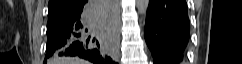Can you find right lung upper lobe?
I'll list each match as a JSON object with an SVG mask.
<instances>
[{
    "label": "right lung upper lobe",
    "instance_id": "right-lung-upper-lobe-1",
    "mask_svg": "<svg viewBox=\"0 0 242 64\" xmlns=\"http://www.w3.org/2000/svg\"><path fill=\"white\" fill-rule=\"evenodd\" d=\"M85 0H49L48 13L78 11Z\"/></svg>",
    "mask_w": 242,
    "mask_h": 64
}]
</instances>
